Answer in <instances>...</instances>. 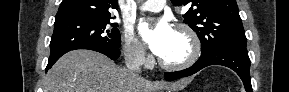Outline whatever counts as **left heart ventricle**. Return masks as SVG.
Masks as SVG:
<instances>
[{
	"mask_svg": "<svg viewBox=\"0 0 289 92\" xmlns=\"http://www.w3.org/2000/svg\"><path fill=\"white\" fill-rule=\"evenodd\" d=\"M191 51L188 38L181 32L175 30L172 43L168 51L161 57L169 63H177L185 60Z\"/></svg>",
	"mask_w": 289,
	"mask_h": 92,
	"instance_id": "obj_1",
	"label": "left heart ventricle"
}]
</instances>
